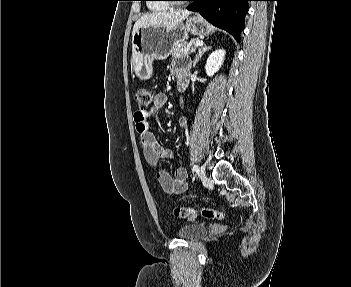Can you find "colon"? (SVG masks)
Masks as SVG:
<instances>
[{"mask_svg": "<svg viewBox=\"0 0 351 287\" xmlns=\"http://www.w3.org/2000/svg\"><path fill=\"white\" fill-rule=\"evenodd\" d=\"M155 94L153 90L148 88H138L135 91V100L140 110H146L154 102ZM174 215L178 218L193 219L197 215H201L206 219L221 220L225 217L223 211H217L206 208L196 207H176Z\"/></svg>", "mask_w": 351, "mask_h": 287, "instance_id": "1", "label": "colon"}]
</instances>
